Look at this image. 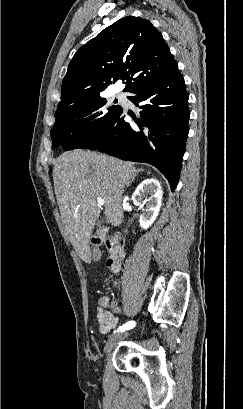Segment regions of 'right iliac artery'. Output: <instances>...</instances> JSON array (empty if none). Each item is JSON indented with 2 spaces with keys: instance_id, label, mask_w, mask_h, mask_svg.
I'll use <instances>...</instances> for the list:
<instances>
[{
  "instance_id": "82829eb1",
  "label": "right iliac artery",
  "mask_w": 243,
  "mask_h": 409,
  "mask_svg": "<svg viewBox=\"0 0 243 409\" xmlns=\"http://www.w3.org/2000/svg\"><path fill=\"white\" fill-rule=\"evenodd\" d=\"M136 322L135 321H129L126 324H124L123 326H120L119 329L117 330V332L119 331H125V330H129L132 329L135 326Z\"/></svg>"
}]
</instances>
